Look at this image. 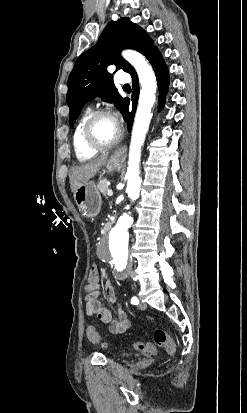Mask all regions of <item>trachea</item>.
Wrapping results in <instances>:
<instances>
[{
  "label": "trachea",
  "instance_id": "trachea-1",
  "mask_svg": "<svg viewBox=\"0 0 247 413\" xmlns=\"http://www.w3.org/2000/svg\"><path fill=\"white\" fill-rule=\"evenodd\" d=\"M123 90H131L130 85L128 83L123 85Z\"/></svg>",
  "mask_w": 247,
  "mask_h": 413
}]
</instances>
